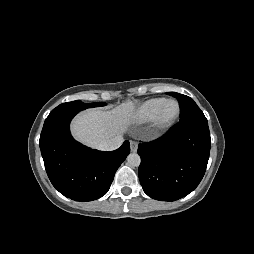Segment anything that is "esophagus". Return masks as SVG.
Masks as SVG:
<instances>
[{
    "instance_id": "1",
    "label": "esophagus",
    "mask_w": 254,
    "mask_h": 254,
    "mask_svg": "<svg viewBox=\"0 0 254 254\" xmlns=\"http://www.w3.org/2000/svg\"><path fill=\"white\" fill-rule=\"evenodd\" d=\"M130 149L132 152H136L138 149V144L135 141H130Z\"/></svg>"
}]
</instances>
